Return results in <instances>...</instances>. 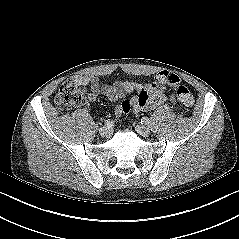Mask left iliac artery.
Wrapping results in <instances>:
<instances>
[{
  "label": "left iliac artery",
  "mask_w": 239,
  "mask_h": 239,
  "mask_svg": "<svg viewBox=\"0 0 239 239\" xmlns=\"http://www.w3.org/2000/svg\"><path fill=\"white\" fill-rule=\"evenodd\" d=\"M148 123H149V118L143 117V118L141 119V124H148Z\"/></svg>",
  "instance_id": "left-iliac-artery-1"
}]
</instances>
